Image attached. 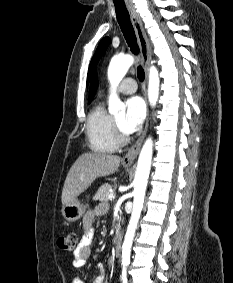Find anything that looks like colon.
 <instances>
[{"mask_svg":"<svg viewBox=\"0 0 233 283\" xmlns=\"http://www.w3.org/2000/svg\"><path fill=\"white\" fill-rule=\"evenodd\" d=\"M78 235L71 231L58 239V246L66 251H75L77 247Z\"/></svg>","mask_w":233,"mask_h":283,"instance_id":"1","label":"colon"}]
</instances>
